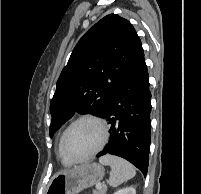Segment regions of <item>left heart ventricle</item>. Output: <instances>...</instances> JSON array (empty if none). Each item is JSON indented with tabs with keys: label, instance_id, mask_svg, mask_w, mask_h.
<instances>
[{
	"label": "left heart ventricle",
	"instance_id": "obj_1",
	"mask_svg": "<svg viewBox=\"0 0 201 194\" xmlns=\"http://www.w3.org/2000/svg\"><path fill=\"white\" fill-rule=\"evenodd\" d=\"M101 138V129L96 123L82 121L68 132L64 143L65 152L71 157H83L99 145Z\"/></svg>",
	"mask_w": 201,
	"mask_h": 194
}]
</instances>
